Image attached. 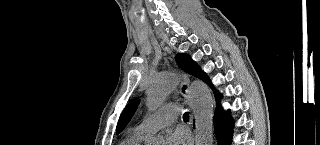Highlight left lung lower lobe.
I'll return each instance as SVG.
<instances>
[{"mask_svg":"<svg viewBox=\"0 0 320 145\" xmlns=\"http://www.w3.org/2000/svg\"><path fill=\"white\" fill-rule=\"evenodd\" d=\"M197 78L203 80L210 85V80L207 75L201 71ZM220 94L215 91V98L217 107L214 115V128L217 135L218 145H230L231 131L233 127V121L230 117V113L225 112L220 104Z\"/></svg>","mask_w":320,"mask_h":145,"instance_id":"obj_1","label":"left lung lower lobe"}]
</instances>
